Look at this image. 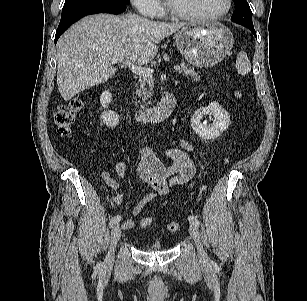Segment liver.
Instances as JSON below:
<instances>
[{
  "mask_svg": "<svg viewBox=\"0 0 307 301\" xmlns=\"http://www.w3.org/2000/svg\"><path fill=\"white\" fill-rule=\"evenodd\" d=\"M186 23L151 21L132 13L83 18L57 42V85L65 101L103 83L117 71L111 59L144 65L158 52V43Z\"/></svg>",
  "mask_w": 307,
  "mask_h": 301,
  "instance_id": "6515ba94",
  "label": "liver"
}]
</instances>
